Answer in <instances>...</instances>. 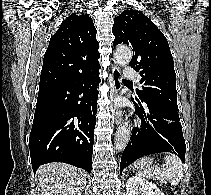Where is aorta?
Returning <instances> with one entry per match:
<instances>
[{
  "mask_svg": "<svg viewBox=\"0 0 211 195\" xmlns=\"http://www.w3.org/2000/svg\"><path fill=\"white\" fill-rule=\"evenodd\" d=\"M115 61L120 66H126L132 58L131 49L127 46H119L115 52ZM130 128L127 124H123L117 128L115 134V149L122 151L129 142Z\"/></svg>",
  "mask_w": 211,
  "mask_h": 195,
  "instance_id": "aorta-1",
  "label": "aorta"
}]
</instances>
